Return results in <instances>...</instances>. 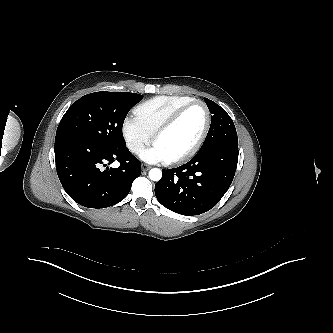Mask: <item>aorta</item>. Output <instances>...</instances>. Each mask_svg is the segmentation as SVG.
I'll return each instance as SVG.
<instances>
[{
  "label": "aorta",
  "instance_id": "762f6f07",
  "mask_svg": "<svg viewBox=\"0 0 333 333\" xmlns=\"http://www.w3.org/2000/svg\"><path fill=\"white\" fill-rule=\"evenodd\" d=\"M149 178L152 181H159L162 178V171L158 168H153L149 171Z\"/></svg>",
  "mask_w": 333,
  "mask_h": 333
}]
</instances>
